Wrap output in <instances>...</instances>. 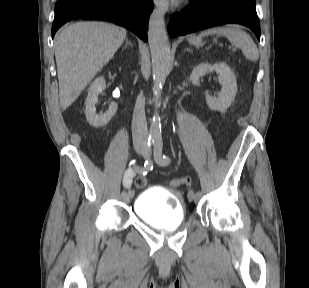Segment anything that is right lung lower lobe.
<instances>
[{
    "mask_svg": "<svg viewBox=\"0 0 309 288\" xmlns=\"http://www.w3.org/2000/svg\"><path fill=\"white\" fill-rule=\"evenodd\" d=\"M152 6V0H57L52 38L64 23L86 18L115 22L147 41Z\"/></svg>",
    "mask_w": 309,
    "mask_h": 288,
    "instance_id": "1",
    "label": "right lung lower lobe"
}]
</instances>
